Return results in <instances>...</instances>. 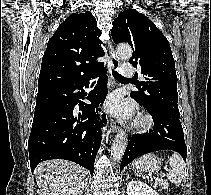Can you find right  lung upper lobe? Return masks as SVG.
Returning <instances> with one entry per match:
<instances>
[{"mask_svg": "<svg viewBox=\"0 0 211 195\" xmlns=\"http://www.w3.org/2000/svg\"><path fill=\"white\" fill-rule=\"evenodd\" d=\"M91 12L73 13L49 39L42 58L38 92L54 86L84 81L104 68L100 29Z\"/></svg>", "mask_w": 211, "mask_h": 195, "instance_id": "obj_1", "label": "right lung upper lobe"}]
</instances>
